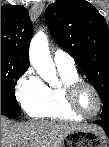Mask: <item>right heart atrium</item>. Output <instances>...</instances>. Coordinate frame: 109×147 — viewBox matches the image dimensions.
<instances>
[{
  "label": "right heart atrium",
  "mask_w": 109,
  "mask_h": 147,
  "mask_svg": "<svg viewBox=\"0 0 109 147\" xmlns=\"http://www.w3.org/2000/svg\"><path fill=\"white\" fill-rule=\"evenodd\" d=\"M16 98L24 109L42 105L48 100L47 86L32 70H27L17 81Z\"/></svg>",
  "instance_id": "d8ad5b80"
}]
</instances>
